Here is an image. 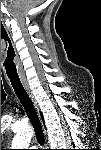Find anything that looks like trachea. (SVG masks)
Instances as JSON below:
<instances>
[{
	"label": "trachea",
	"instance_id": "trachea-1",
	"mask_svg": "<svg viewBox=\"0 0 101 150\" xmlns=\"http://www.w3.org/2000/svg\"><path fill=\"white\" fill-rule=\"evenodd\" d=\"M11 85L20 100L21 104L23 105L25 112L27 113V116L34 127L35 134H36V139L40 145H44V134L42 130V126L39 120V117L37 115V112L34 108V105L26 92L24 86L22 85L20 79H15V78H9Z\"/></svg>",
	"mask_w": 101,
	"mask_h": 150
}]
</instances>
